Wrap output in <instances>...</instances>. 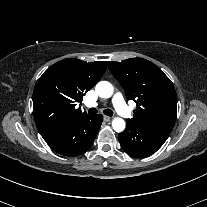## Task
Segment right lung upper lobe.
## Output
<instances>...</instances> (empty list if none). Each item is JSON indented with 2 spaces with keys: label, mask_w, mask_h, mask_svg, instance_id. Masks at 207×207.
I'll use <instances>...</instances> for the list:
<instances>
[{
  "label": "right lung upper lobe",
  "mask_w": 207,
  "mask_h": 207,
  "mask_svg": "<svg viewBox=\"0 0 207 207\" xmlns=\"http://www.w3.org/2000/svg\"><path fill=\"white\" fill-rule=\"evenodd\" d=\"M105 61L87 63L68 58L49 67L38 79L33 92V114L43 138L62 126L88 117L76 104L102 77Z\"/></svg>",
  "instance_id": "obj_1"
}]
</instances>
